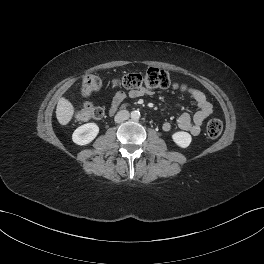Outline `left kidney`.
Masks as SVG:
<instances>
[{"label": "left kidney", "mask_w": 264, "mask_h": 264, "mask_svg": "<svg viewBox=\"0 0 264 264\" xmlns=\"http://www.w3.org/2000/svg\"><path fill=\"white\" fill-rule=\"evenodd\" d=\"M173 141L181 148H187L192 140V137L189 133L179 131L172 135Z\"/></svg>", "instance_id": "left-kidney-1"}]
</instances>
